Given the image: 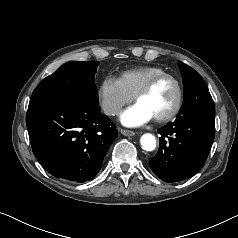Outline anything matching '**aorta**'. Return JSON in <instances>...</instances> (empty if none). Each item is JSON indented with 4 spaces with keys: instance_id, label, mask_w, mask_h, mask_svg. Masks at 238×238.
Instances as JSON below:
<instances>
[{
    "instance_id": "1",
    "label": "aorta",
    "mask_w": 238,
    "mask_h": 238,
    "mask_svg": "<svg viewBox=\"0 0 238 238\" xmlns=\"http://www.w3.org/2000/svg\"><path fill=\"white\" fill-rule=\"evenodd\" d=\"M140 143L145 151H153L156 148L155 136L150 133H145L140 138Z\"/></svg>"
}]
</instances>
